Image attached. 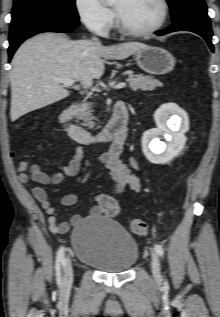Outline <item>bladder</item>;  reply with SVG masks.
<instances>
[{
	"label": "bladder",
	"instance_id": "bladder-1",
	"mask_svg": "<svg viewBox=\"0 0 220 317\" xmlns=\"http://www.w3.org/2000/svg\"><path fill=\"white\" fill-rule=\"evenodd\" d=\"M70 241L79 262L104 272H125L139 257L138 243L133 236L105 216L82 219L73 229Z\"/></svg>",
	"mask_w": 220,
	"mask_h": 317
}]
</instances>
